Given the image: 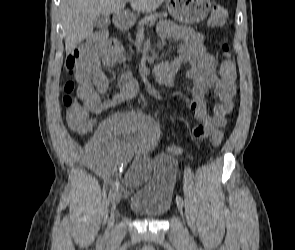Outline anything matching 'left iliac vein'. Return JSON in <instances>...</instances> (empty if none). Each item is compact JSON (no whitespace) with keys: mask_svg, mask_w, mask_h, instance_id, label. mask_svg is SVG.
<instances>
[{"mask_svg":"<svg viewBox=\"0 0 295 250\" xmlns=\"http://www.w3.org/2000/svg\"><path fill=\"white\" fill-rule=\"evenodd\" d=\"M178 209H179L180 213H182V205L181 204H178Z\"/></svg>","mask_w":295,"mask_h":250,"instance_id":"left-iliac-vein-1","label":"left iliac vein"}]
</instances>
